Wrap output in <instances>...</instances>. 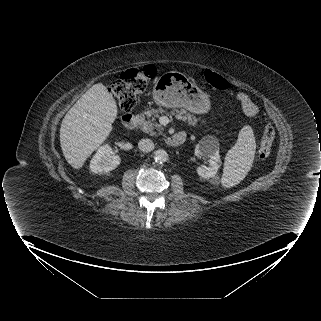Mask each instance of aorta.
<instances>
[{
    "mask_svg": "<svg viewBox=\"0 0 321 321\" xmlns=\"http://www.w3.org/2000/svg\"><path fill=\"white\" fill-rule=\"evenodd\" d=\"M154 160L157 163H164L168 159V153L163 149H158L154 152Z\"/></svg>",
    "mask_w": 321,
    "mask_h": 321,
    "instance_id": "1",
    "label": "aorta"
}]
</instances>
